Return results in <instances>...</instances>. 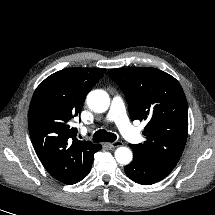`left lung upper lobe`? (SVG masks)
I'll use <instances>...</instances> for the list:
<instances>
[{
	"label": "left lung upper lobe",
	"instance_id": "left-lung-upper-lobe-1",
	"mask_svg": "<svg viewBox=\"0 0 215 215\" xmlns=\"http://www.w3.org/2000/svg\"><path fill=\"white\" fill-rule=\"evenodd\" d=\"M108 75L122 89L132 120H147L143 144L131 145L148 161L173 170L188 135V106L179 82L151 67L116 68Z\"/></svg>",
	"mask_w": 215,
	"mask_h": 215
}]
</instances>
